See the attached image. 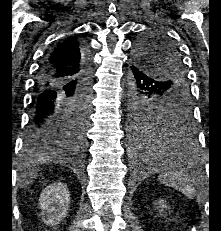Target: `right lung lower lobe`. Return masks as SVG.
<instances>
[{
    "label": "right lung lower lobe",
    "mask_w": 221,
    "mask_h": 231,
    "mask_svg": "<svg viewBox=\"0 0 221 231\" xmlns=\"http://www.w3.org/2000/svg\"><path fill=\"white\" fill-rule=\"evenodd\" d=\"M44 63V62H43ZM82 75L77 79L58 83L45 80L51 71L41 65L33 98V110L28 132L24 140V153L27 157L43 154L83 153L84 144L77 143L65 131L63 114L76 99L90 101L91 62L88 55L82 61Z\"/></svg>",
    "instance_id": "1"
}]
</instances>
